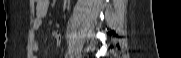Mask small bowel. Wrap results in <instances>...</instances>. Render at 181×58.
Returning a JSON list of instances; mask_svg holds the SVG:
<instances>
[{"label": "small bowel", "instance_id": "small-bowel-1", "mask_svg": "<svg viewBox=\"0 0 181 58\" xmlns=\"http://www.w3.org/2000/svg\"><path fill=\"white\" fill-rule=\"evenodd\" d=\"M48 7H49V1L48 0H37L36 15H35V19L33 21V30L35 32H37L41 28L43 20H44L46 14H47V11H48ZM54 38L59 43L60 36L58 33H54ZM32 48H33L34 52L39 51V49H40L39 42L34 41Z\"/></svg>", "mask_w": 181, "mask_h": 58}]
</instances>
